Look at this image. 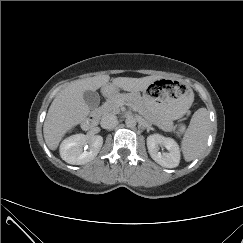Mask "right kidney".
<instances>
[{
  "label": "right kidney",
  "mask_w": 243,
  "mask_h": 243,
  "mask_svg": "<svg viewBox=\"0 0 243 243\" xmlns=\"http://www.w3.org/2000/svg\"><path fill=\"white\" fill-rule=\"evenodd\" d=\"M87 144H89V149ZM102 145V136L96 135L88 137L84 134H75L62 141L60 145V156L69 164L83 165L97 156Z\"/></svg>",
  "instance_id": "ca27d5eb"
}]
</instances>
